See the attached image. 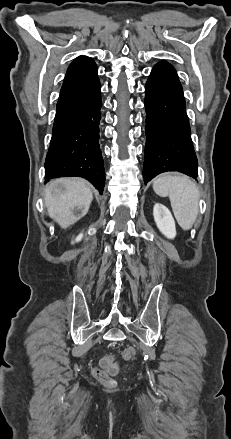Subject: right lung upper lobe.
Listing matches in <instances>:
<instances>
[{
    "mask_svg": "<svg viewBox=\"0 0 231 439\" xmlns=\"http://www.w3.org/2000/svg\"><path fill=\"white\" fill-rule=\"evenodd\" d=\"M96 75L97 67L94 60L87 56H79L68 67L60 93L73 89Z\"/></svg>",
    "mask_w": 231,
    "mask_h": 439,
    "instance_id": "1",
    "label": "right lung upper lobe"
}]
</instances>
